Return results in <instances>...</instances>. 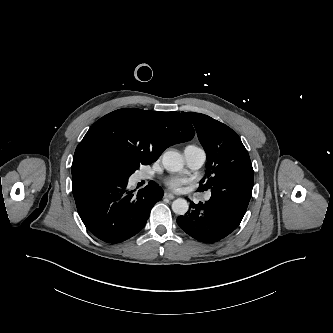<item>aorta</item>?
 Here are the masks:
<instances>
[{"label": "aorta", "mask_w": 333, "mask_h": 333, "mask_svg": "<svg viewBox=\"0 0 333 333\" xmlns=\"http://www.w3.org/2000/svg\"><path fill=\"white\" fill-rule=\"evenodd\" d=\"M162 164L167 171L178 172L182 170L184 161L182 155L177 151H167L163 154ZM189 205L185 199L178 198L172 203V210L177 215H184Z\"/></svg>", "instance_id": "obj_1"}]
</instances>
